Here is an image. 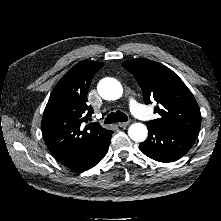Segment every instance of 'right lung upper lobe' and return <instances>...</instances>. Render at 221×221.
<instances>
[{
	"label": "right lung upper lobe",
	"mask_w": 221,
	"mask_h": 221,
	"mask_svg": "<svg viewBox=\"0 0 221 221\" xmlns=\"http://www.w3.org/2000/svg\"><path fill=\"white\" fill-rule=\"evenodd\" d=\"M103 63L82 61L73 66L53 89L42 117L45 142L53 155L66 165L100 145L111 133L98 123H87L93 108L87 92Z\"/></svg>",
	"instance_id": "cb5924a9"
}]
</instances>
